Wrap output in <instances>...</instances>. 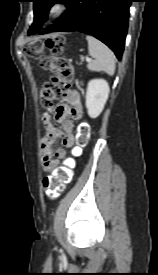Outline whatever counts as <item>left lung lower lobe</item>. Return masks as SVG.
<instances>
[{
    "mask_svg": "<svg viewBox=\"0 0 158 275\" xmlns=\"http://www.w3.org/2000/svg\"><path fill=\"white\" fill-rule=\"evenodd\" d=\"M132 0H65L67 11L41 34L79 31L105 43L120 60L128 28Z\"/></svg>",
    "mask_w": 158,
    "mask_h": 275,
    "instance_id": "0a47b994",
    "label": "left lung lower lobe"
}]
</instances>
